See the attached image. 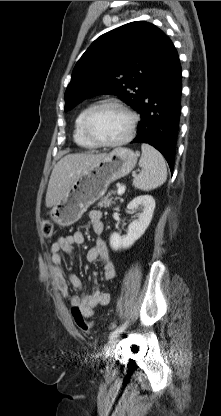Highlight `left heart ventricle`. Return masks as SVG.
Masks as SVG:
<instances>
[{
  "label": "left heart ventricle",
  "instance_id": "obj_1",
  "mask_svg": "<svg viewBox=\"0 0 221 416\" xmlns=\"http://www.w3.org/2000/svg\"><path fill=\"white\" fill-rule=\"evenodd\" d=\"M130 118L120 108L107 106L92 118L90 128L100 140L115 141L124 137L129 129Z\"/></svg>",
  "mask_w": 221,
  "mask_h": 416
}]
</instances>
